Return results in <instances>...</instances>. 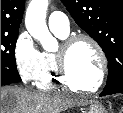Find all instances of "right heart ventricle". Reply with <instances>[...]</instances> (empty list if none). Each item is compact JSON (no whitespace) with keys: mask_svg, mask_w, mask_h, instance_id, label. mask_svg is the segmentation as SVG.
<instances>
[{"mask_svg":"<svg viewBox=\"0 0 123 113\" xmlns=\"http://www.w3.org/2000/svg\"><path fill=\"white\" fill-rule=\"evenodd\" d=\"M54 33L61 39L68 36V34ZM58 85L65 86L60 80L57 71L55 54L51 52H43L41 54V68L36 86L41 90L49 91L56 88Z\"/></svg>","mask_w":123,"mask_h":113,"instance_id":"obj_1","label":"right heart ventricle"}]
</instances>
